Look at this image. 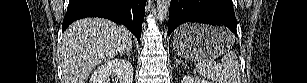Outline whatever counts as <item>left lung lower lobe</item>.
I'll return each instance as SVG.
<instances>
[{
    "instance_id": "left-lung-lower-lobe-1",
    "label": "left lung lower lobe",
    "mask_w": 307,
    "mask_h": 83,
    "mask_svg": "<svg viewBox=\"0 0 307 83\" xmlns=\"http://www.w3.org/2000/svg\"><path fill=\"white\" fill-rule=\"evenodd\" d=\"M185 22L225 25L237 33L232 0H171L168 34Z\"/></svg>"
}]
</instances>
